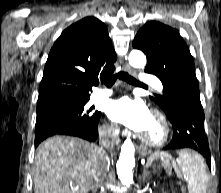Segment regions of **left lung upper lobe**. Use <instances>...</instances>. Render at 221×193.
Here are the masks:
<instances>
[{"label":"left lung upper lobe","instance_id":"obj_1","mask_svg":"<svg viewBox=\"0 0 221 193\" xmlns=\"http://www.w3.org/2000/svg\"><path fill=\"white\" fill-rule=\"evenodd\" d=\"M133 47L147 56L145 72L156 75L163 83V95H152L171 117L170 96L167 91L180 85L197 86L195 66L189 48L176 29L163 23L150 21L135 36Z\"/></svg>","mask_w":221,"mask_h":193}]
</instances>
